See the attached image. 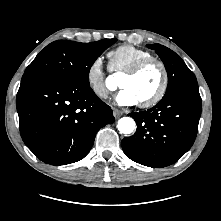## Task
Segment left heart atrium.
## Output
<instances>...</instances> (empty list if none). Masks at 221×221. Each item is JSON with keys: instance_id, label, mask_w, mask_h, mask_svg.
Returning a JSON list of instances; mask_svg holds the SVG:
<instances>
[{"instance_id": "39dd6f15", "label": "left heart atrium", "mask_w": 221, "mask_h": 221, "mask_svg": "<svg viewBox=\"0 0 221 221\" xmlns=\"http://www.w3.org/2000/svg\"><path fill=\"white\" fill-rule=\"evenodd\" d=\"M116 101L120 105L130 106L138 103L137 97L126 88H122L116 97Z\"/></svg>"}]
</instances>
